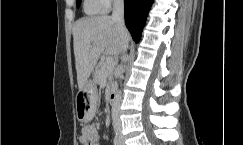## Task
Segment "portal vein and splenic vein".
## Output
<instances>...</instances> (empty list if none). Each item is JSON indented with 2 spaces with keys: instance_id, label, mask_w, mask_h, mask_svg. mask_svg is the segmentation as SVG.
Wrapping results in <instances>:
<instances>
[{
  "instance_id": "18ae733b",
  "label": "portal vein and splenic vein",
  "mask_w": 243,
  "mask_h": 145,
  "mask_svg": "<svg viewBox=\"0 0 243 145\" xmlns=\"http://www.w3.org/2000/svg\"><path fill=\"white\" fill-rule=\"evenodd\" d=\"M113 66H114V59L108 56L105 60V69H110Z\"/></svg>"
}]
</instances>
